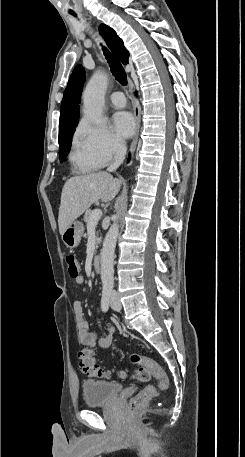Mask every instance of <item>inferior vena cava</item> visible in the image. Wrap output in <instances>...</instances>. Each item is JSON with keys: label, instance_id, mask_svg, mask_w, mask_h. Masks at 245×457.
<instances>
[{"label": "inferior vena cava", "instance_id": "inferior-vena-cava-1", "mask_svg": "<svg viewBox=\"0 0 245 457\" xmlns=\"http://www.w3.org/2000/svg\"><path fill=\"white\" fill-rule=\"evenodd\" d=\"M115 150H116V152H115L114 162H112V164H110V166H108V168H107V170H109V172H113V170H116V168H118V166H120V164H122V162L125 158L127 146H126L123 138H116Z\"/></svg>", "mask_w": 245, "mask_h": 457}]
</instances>
